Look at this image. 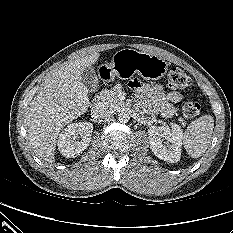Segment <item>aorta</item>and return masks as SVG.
Masks as SVG:
<instances>
[{"mask_svg":"<svg viewBox=\"0 0 233 233\" xmlns=\"http://www.w3.org/2000/svg\"><path fill=\"white\" fill-rule=\"evenodd\" d=\"M118 120H119L121 123H127V122H129V120H130V115H129L128 112H126V111H121V112L118 114Z\"/></svg>","mask_w":233,"mask_h":233,"instance_id":"obj_1","label":"aorta"}]
</instances>
